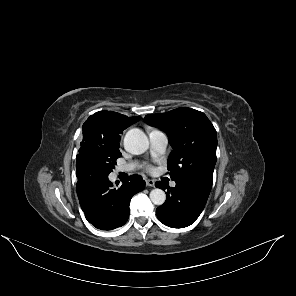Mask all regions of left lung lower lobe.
Instances as JSON below:
<instances>
[{"mask_svg": "<svg viewBox=\"0 0 296 296\" xmlns=\"http://www.w3.org/2000/svg\"><path fill=\"white\" fill-rule=\"evenodd\" d=\"M156 187L163 190L165 185L157 182ZM212 181L207 179H188L176 182V186L166 192V201L156 209L158 219L172 228H184L191 225L201 214Z\"/></svg>", "mask_w": 296, "mask_h": 296, "instance_id": "obj_1", "label": "left lung lower lobe"}]
</instances>
